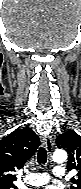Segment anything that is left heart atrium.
<instances>
[{
  "instance_id": "left-heart-atrium-1",
  "label": "left heart atrium",
  "mask_w": 81,
  "mask_h": 189,
  "mask_svg": "<svg viewBox=\"0 0 81 189\" xmlns=\"http://www.w3.org/2000/svg\"><path fill=\"white\" fill-rule=\"evenodd\" d=\"M45 189H60V188H58V187H56V186H48V187H46Z\"/></svg>"
}]
</instances>
